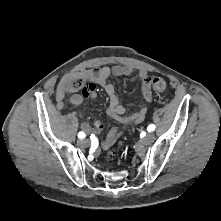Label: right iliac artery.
Listing matches in <instances>:
<instances>
[{
    "label": "right iliac artery",
    "instance_id": "obj_1",
    "mask_svg": "<svg viewBox=\"0 0 221 221\" xmlns=\"http://www.w3.org/2000/svg\"><path fill=\"white\" fill-rule=\"evenodd\" d=\"M85 137H86V135H85L84 132H79V133H78V138L84 139Z\"/></svg>",
    "mask_w": 221,
    "mask_h": 221
}]
</instances>
